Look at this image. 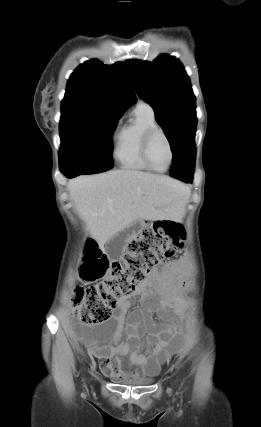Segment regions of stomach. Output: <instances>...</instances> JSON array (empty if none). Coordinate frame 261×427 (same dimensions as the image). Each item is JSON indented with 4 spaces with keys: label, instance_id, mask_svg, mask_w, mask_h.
<instances>
[{
    "label": "stomach",
    "instance_id": "stomach-1",
    "mask_svg": "<svg viewBox=\"0 0 261 427\" xmlns=\"http://www.w3.org/2000/svg\"><path fill=\"white\" fill-rule=\"evenodd\" d=\"M136 228H134V229H132L131 231H132V233L134 234L135 232H136Z\"/></svg>",
    "mask_w": 261,
    "mask_h": 427
}]
</instances>
